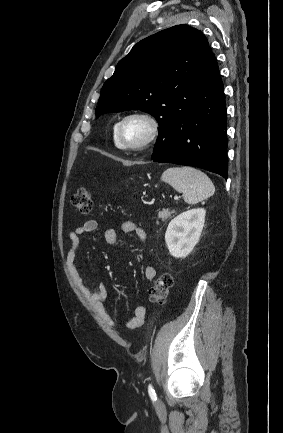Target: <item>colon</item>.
Listing matches in <instances>:
<instances>
[{
    "instance_id": "colon-1",
    "label": "colon",
    "mask_w": 283,
    "mask_h": 433,
    "mask_svg": "<svg viewBox=\"0 0 283 433\" xmlns=\"http://www.w3.org/2000/svg\"><path fill=\"white\" fill-rule=\"evenodd\" d=\"M71 206L81 215H89L93 202L91 191L86 187L79 188L70 199ZM173 286V277L169 273H163L154 281L149 289V298L152 302L163 304Z\"/></svg>"
}]
</instances>
